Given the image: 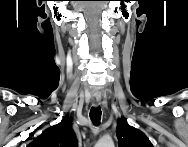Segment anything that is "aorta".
Instances as JSON below:
<instances>
[{
	"label": "aorta",
	"instance_id": "762f6f07",
	"mask_svg": "<svg viewBox=\"0 0 188 147\" xmlns=\"http://www.w3.org/2000/svg\"><path fill=\"white\" fill-rule=\"evenodd\" d=\"M98 147H114V143L111 139L109 138H103L101 139L98 144Z\"/></svg>",
	"mask_w": 188,
	"mask_h": 147
}]
</instances>
